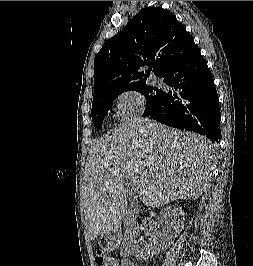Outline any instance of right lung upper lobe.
Returning a JSON list of instances; mask_svg holds the SVG:
<instances>
[{
	"label": "right lung upper lobe",
	"instance_id": "1",
	"mask_svg": "<svg viewBox=\"0 0 253 266\" xmlns=\"http://www.w3.org/2000/svg\"><path fill=\"white\" fill-rule=\"evenodd\" d=\"M196 49L192 36L171 12L160 7L142 9L96 55L93 102L146 83L152 70L163 77ZM145 65L150 68L140 71Z\"/></svg>",
	"mask_w": 253,
	"mask_h": 266
}]
</instances>
